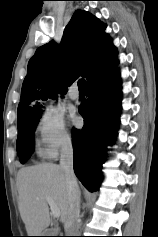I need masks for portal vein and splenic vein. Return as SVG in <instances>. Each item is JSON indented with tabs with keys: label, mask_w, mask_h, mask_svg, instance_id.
<instances>
[{
	"label": "portal vein and splenic vein",
	"mask_w": 158,
	"mask_h": 237,
	"mask_svg": "<svg viewBox=\"0 0 158 237\" xmlns=\"http://www.w3.org/2000/svg\"><path fill=\"white\" fill-rule=\"evenodd\" d=\"M46 200L50 206L51 209V213L55 218H59L60 217V210L59 208L56 206V204L54 203L53 199L49 196L46 197Z\"/></svg>",
	"instance_id": "obj_1"
}]
</instances>
